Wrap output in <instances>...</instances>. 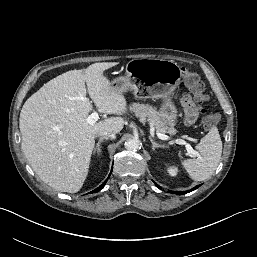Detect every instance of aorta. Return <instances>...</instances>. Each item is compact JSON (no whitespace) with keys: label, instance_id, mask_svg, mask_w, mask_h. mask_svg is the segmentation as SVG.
<instances>
[{"label":"aorta","instance_id":"762f6f07","mask_svg":"<svg viewBox=\"0 0 257 257\" xmlns=\"http://www.w3.org/2000/svg\"><path fill=\"white\" fill-rule=\"evenodd\" d=\"M125 148L130 151H137L141 148V142L139 139H129L125 143Z\"/></svg>","mask_w":257,"mask_h":257}]
</instances>
